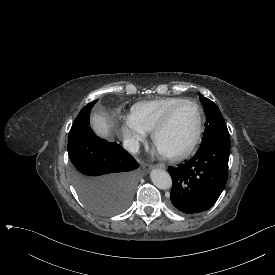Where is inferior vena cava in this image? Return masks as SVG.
I'll list each match as a JSON object with an SVG mask.
<instances>
[{
  "label": "inferior vena cava",
  "mask_w": 275,
  "mask_h": 275,
  "mask_svg": "<svg viewBox=\"0 0 275 275\" xmlns=\"http://www.w3.org/2000/svg\"><path fill=\"white\" fill-rule=\"evenodd\" d=\"M123 147L131 153H137L139 150V142L134 139H126L123 141Z\"/></svg>",
  "instance_id": "inferior-vena-cava-1"
}]
</instances>
